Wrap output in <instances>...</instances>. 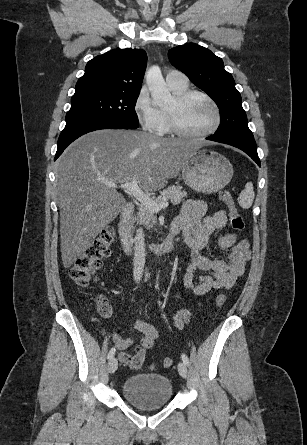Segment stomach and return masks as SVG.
I'll use <instances>...</instances> for the list:
<instances>
[{
  "instance_id": "1",
  "label": "stomach",
  "mask_w": 307,
  "mask_h": 445,
  "mask_svg": "<svg viewBox=\"0 0 307 445\" xmlns=\"http://www.w3.org/2000/svg\"><path fill=\"white\" fill-rule=\"evenodd\" d=\"M233 176V166L223 154L210 148H196L182 168L185 184L196 192L212 194L222 190Z\"/></svg>"
}]
</instances>
